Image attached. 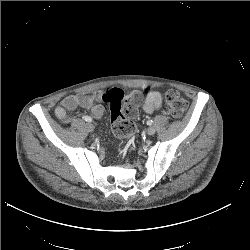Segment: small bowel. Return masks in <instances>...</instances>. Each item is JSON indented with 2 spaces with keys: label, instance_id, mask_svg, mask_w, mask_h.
Segmentation results:
<instances>
[{
  "label": "small bowel",
  "instance_id": "c3829d8e",
  "mask_svg": "<svg viewBox=\"0 0 250 250\" xmlns=\"http://www.w3.org/2000/svg\"><path fill=\"white\" fill-rule=\"evenodd\" d=\"M102 98V93H86L74 94L65 97L55 108L56 117L69 123L72 118L69 116L68 111L74 110L78 106L88 109L95 119H100L104 114V108L99 103ZM162 107V96L159 92L147 90L146 98L143 104V110L148 113H154Z\"/></svg>",
  "mask_w": 250,
  "mask_h": 250
}]
</instances>
